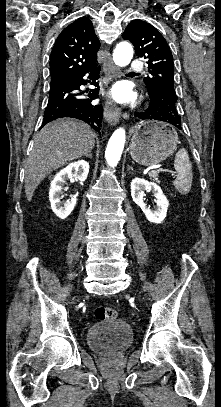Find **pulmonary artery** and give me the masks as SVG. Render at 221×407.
<instances>
[{"mask_svg": "<svg viewBox=\"0 0 221 407\" xmlns=\"http://www.w3.org/2000/svg\"><path fill=\"white\" fill-rule=\"evenodd\" d=\"M132 72L140 73L143 70V64L140 61H134L130 67Z\"/></svg>", "mask_w": 221, "mask_h": 407, "instance_id": "1", "label": "pulmonary artery"}]
</instances>
